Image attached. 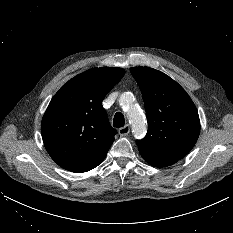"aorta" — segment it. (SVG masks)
Wrapping results in <instances>:
<instances>
[{"label": "aorta", "mask_w": 233, "mask_h": 233, "mask_svg": "<svg viewBox=\"0 0 233 233\" xmlns=\"http://www.w3.org/2000/svg\"><path fill=\"white\" fill-rule=\"evenodd\" d=\"M120 104L128 108L127 114L134 136L143 137L146 133V122L141 111L134 107V96L129 92L123 93L120 97Z\"/></svg>", "instance_id": "1"}]
</instances>
